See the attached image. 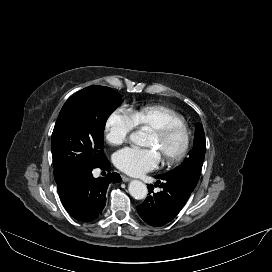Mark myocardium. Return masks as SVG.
Returning a JSON list of instances; mask_svg holds the SVG:
<instances>
[{
  "instance_id": "f54148a6",
  "label": "myocardium",
  "mask_w": 272,
  "mask_h": 272,
  "mask_svg": "<svg viewBox=\"0 0 272 272\" xmlns=\"http://www.w3.org/2000/svg\"><path fill=\"white\" fill-rule=\"evenodd\" d=\"M152 133L160 140L165 141L176 134L182 135V144L179 149L173 154L164 157V162L167 165H172L180 162L187 155L191 145V131L185 124H172L159 129L152 130Z\"/></svg>"
}]
</instances>
